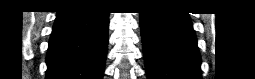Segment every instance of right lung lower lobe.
Masks as SVG:
<instances>
[{"label": "right lung lower lobe", "mask_w": 255, "mask_h": 79, "mask_svg": "<svg viewBox=\"0 0 255 79\" xmlns=\"http://www.w3.org/2000/svg\"><path fill=\"white\" fill-rule=\"evenodd\" d=\"M108 12L73 7L57 12L46 57V79H102Z\"/></svg>", "instance_id": "1"}]
</instances>
